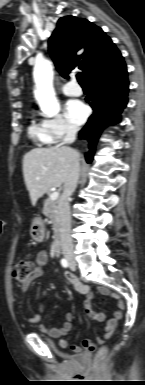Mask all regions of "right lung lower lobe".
Returning <instances> with one entry per match:
<instances>
[{
	"instance_id": "right-lung-lower-lobe-1",
	"label": "right lung lower lobe",
	"mask_w": 145,
	"mask_h": 385,
	"mask_svg": "<svg viewBox=\"0 0 145 385\" xmlns=\"http://www.w3.org/2000/svg\"><path fill=\"white\" fill-rule=\"evenodd\" d=\"M87 83L90 93L86 101L92 107L93 114L80 131V138L89 141L90 150L85 158L91 162L100 133L105 126L118 123L120 113L126 107L129 82L125 62L109 73L91 78Z\"/></svg>"
}]
</instances>
